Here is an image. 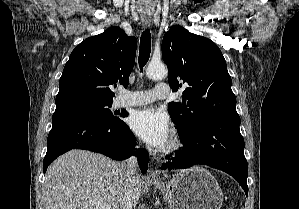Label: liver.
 Masks as SVG:
<instances>
[{"mask_svg": "<svg viewBox=\"0 0 299 209\" xmlns=\"http://www.w3.org/2000/svg\"><path fill=\"white\" fill-rule=\"evenodd\" d=\"M120 164L85 150L63 154L45 176V209H95L94 201L121 209L125 199L135 206L141 194V178L137 175L127 187Z\"/></svg>", "mask_w": 299, "mask_h": 209, "instance_id": "liver-1", "label": "liver"}]
</instances>
